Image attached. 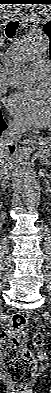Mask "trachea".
Returning <instances> with one entry per match:
<instances>
[{
    "label": "trachea",
    "mask_w": 51,
    "mask_h": 393,
    "mask_svg": "<svg viewBox=\"0 0 51 393\" xmlns=\"http://www.w3.org/2000/svg\"><path fill=\"white\" fill-rule=\"evenodd\" d=\"M18 25H19L18 21H10L7 24L6 29H5V33L8 38H13L15 36Z\"/></svg>",
    "instance_id": "1"
}]
</instances>
